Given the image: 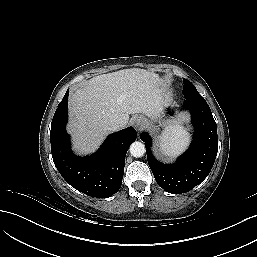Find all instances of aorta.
Wrapping results in <instances>:
<instances>
[{"label":"aorta","mask_w":257,"mask_h":257,"mask_svg":"<svg viewBox=\"0 0 257 257\" xmlns=\"http://www.w3.org/2000/svg\"><path fill=\"white\" fill-rule=\"evenodd\" d=\"M129 150L133 157L139 158L145 154V145L142 142L135 141L130 145Z\"/></svg>","instance_id":"obj_1"}]
</instances>
